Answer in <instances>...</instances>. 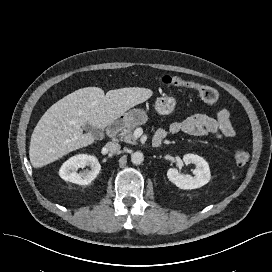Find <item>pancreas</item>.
<instances>
[{"label":"pancreas","mask_w":272,"mask_h":272,"mask_svg":"<svg viewBox=\"0 0 272 272\" xmlns=\"http://www.w3.org/2000/svg\"><path fill=\"white\" fill-rule=\"evenodd\" d=\"M136 125H129L127 128L123 129L120 133V140L130 144H136L137 138L134 136L133 131Z\"/></svg>","instance_id":"cf45deb5"}]
</instances>
